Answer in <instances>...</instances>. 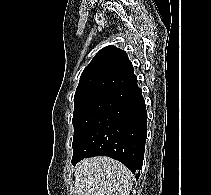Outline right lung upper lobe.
Listing matches in <instances>:
<instances>
[{"label": "right lung upper lobe", "mask_w": 211, "mask_h": 195, "mask_svg": "<svg viewBox=\"0 0 211 195\" xmlns=\"http://www.w3.org/2000/svg\"><path fill=\"white\" fill-rule=\"evenodd\" d=\"M134 82L137 78L126 52L111 45L101 49L84 69L75 95L92 90L115 92Z\"/></svg>", "instance_id": "right-lung-upper-lobe-1"}]
</instances>
